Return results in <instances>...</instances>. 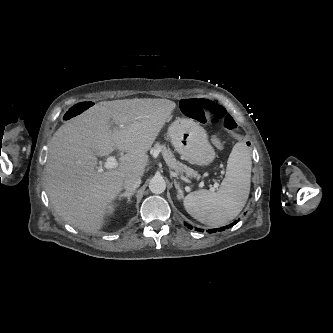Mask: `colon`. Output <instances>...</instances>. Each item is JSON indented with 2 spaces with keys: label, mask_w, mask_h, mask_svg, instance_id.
<instances>
[{
  "label": "colon",
  "mask_w": 333,
  "mask_h": 333,
  "mask_svg": "<svg viewBox=\"0 0 333 333\" xmlns=\"http://www.w3.org/2000/svg\"><path fill=\"white\" fill-rule=\"evenodd\" d=\"M95 103L85 101L70 107L64 114V120L69 121L78 114L83 113L87 108H95ZM182 111L189 117L199 120L202 123L220 127L227 130V134L234 139L243 140L245 133L234 121V119L215 102L205 98H188L182 101Z\"/></svg>",
  "instance_id": "1"
}]
</instances>
